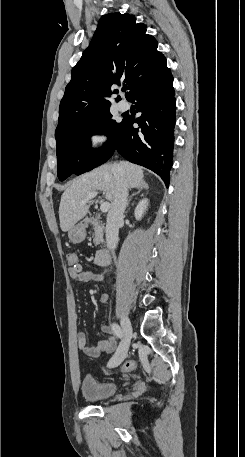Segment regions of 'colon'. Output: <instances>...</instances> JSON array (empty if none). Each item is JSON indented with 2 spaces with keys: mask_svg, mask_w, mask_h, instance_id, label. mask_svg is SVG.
Here are the masks:
<instances>
[{
  "mask_svg": "<svg viewBox=\"0 0 245 457\" xmlns=\"http://www.w3.org/2000/svg\"><path fill=\"white\" fill-rule=\"evenodd\" d=\"M67 260H68V263L69 265L72 267V268H75L77 269L80 265L78 264V258H77V255L75 253H69L67 255ZM136 364L133 360H126L125 362H123L121 364V366L119 367V369L121 371H130V370H133L135 368Z\"/></svg>",
  "mask_w": 245,
  "mask_h": 457,
  "instance_id": "5ec220e1",
  "label": "colon"
}]
</instances>
